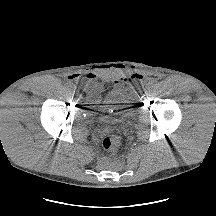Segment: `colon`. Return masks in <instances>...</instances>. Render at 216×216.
Wrapping results in <instances>:
<instances>
[{
    "instance_id": "1",
    "label": "colon",
    "mask_w": 216,
    "mask_h": 216,
    "mask_svg": "<svg viewBox=\"0 0 216 216\" xmlns=\"http://www.w3.org/2000/svg\"><path fill=\"white\" fill-rule=\"evenodd\" d=\"M122 143V137L119 134H108L102 141L103 148L106 150H116Z\"/></svg>"
}]
</instances>
